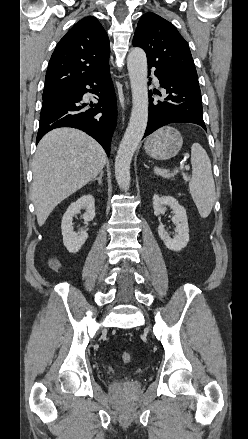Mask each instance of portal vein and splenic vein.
Returning a JSON list of instances; mask_svg holds the SVG:
<instances>
[{
	"instance_id": "1",
	"label": "portal vein and splenic vein",
	"mask_w": 248,
	"mask_h": 439,
	"mask_svg": "<svg viewBox=\"0 0 248 439\" xmlns=\"http://www.w3.org/2000/svg\"><path fill=\"white\" fill-rule=\"evenodd\" d=\"M183 169V166H181L179 169H176L175 171H174V173H178L179 172V170H182ZM185 169L186 170H189V167L188 166H185ZM186 180H187V177H184Z\"/></svg>"
}]
</instances>
